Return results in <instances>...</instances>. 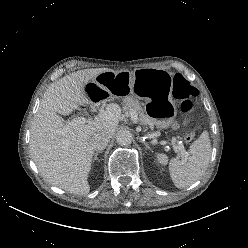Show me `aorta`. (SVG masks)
Instances as JSON below:
<instances>
[{"label":"aorta","instance_id":"762f6f07","mask_svg":"<svg viewBox=\"0 0 248 248\" xmlns=\"http://www.w3.org/2000/svg\"><path fill=\"white\" fill-rule=\"evenodd\" d=\"M133 135L129 130H119L116 134V142L120 146H128L132 143Z\"/></svg>","mask_w":248,"mask_h":248}]
</instances>
